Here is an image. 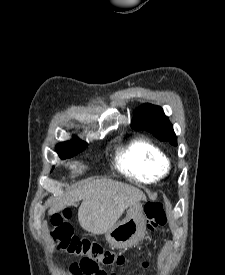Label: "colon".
I'll list each match as a JSON object with an SVG mask.
<instances>
[{
  "label": "colon",
  "instance_id": "colon-1",
  "mask_svg": "<svg viewBox=\"0 0 225 275\" xmlns=\"http://www.w3.org/2000/svg\"><path fill=\"white\" fill-rule=\"evenodd\" d=\"M147 228L155 231L167 223V215L159 201H152L145 206ZM69 213L56 215L51 221V237L58 246L72 255L82 256L74 264V270L87 275H99L98 264L106 266H122L127 262L126 256L104 249L100 244L87 238H80L73 234L71 226L66 222ZM115 275V274H111Z\"/></svg>",
  "mask_w": 225,
  "mask_h": 275
}]
</instances>
